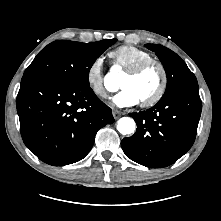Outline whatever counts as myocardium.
<instances>
[{
  "label": "myocardium",
  "mask_w": 221,
  "mask_h": 221,
  "mask_svg": "<svg viewBox=\"0 0 221 221\" xmlns=\"http://www.w3.org/2000/svg\"><path fill=\"white\" fill-rule=\"evenodd\" d=\"M151 65L157 66L160 71V84L151 97L140 101V105L143 107L153 106L163 98L168 86V75L165 65L160 60L150 57L137 62L124 72L125 75L135 76Z\"/></svg>",
  "instance_id": "1"
}]
</instances>
